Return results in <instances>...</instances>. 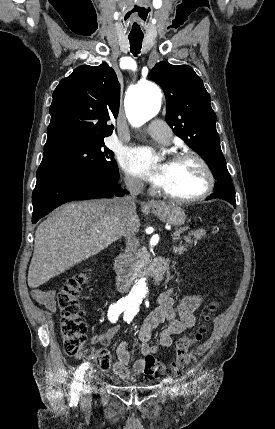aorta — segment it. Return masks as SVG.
Instances as JSON below:
<instances>
[{
	"label": "aorta",
	"mask_w": 275,
	"mask_h": 429,
	"mask_svg": "<svg viewBox=\"0 0 275 429\" xmlns=\"http://www.w3.org/2000/svg\"><path fill=\"white\" fill-rule=\"evenodd\" d=\"M162 93L153 83L135 86L126 98L125 108L129 122L133 126H140L156 116L161 108ZM148 294L145 279H139L127 297V301L139 304Z\"/></svg>",
	"instance_id": "aorta-1"
}]
</instances>
